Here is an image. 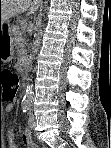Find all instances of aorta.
<instances>
[{
  "mask_svg": "<svg viewBox=\"0 0 111 148\" xmlns=\"http://www.w3.org/2000/svg\"><path fill=\"white\" fill-rule=\"evenodd\" d=\"M45 26V24L43 23L42 20L39 21L36 33H35V40L33 41V45H32V52H31V60H34L35 56L37 55L40 46H41V40H42V35H43V30L42 28ZM33 101V89H32V85L27 84L26 88H25V93H24V98H23V102L24 104H31Z\"/></svg>",
  "mask_w": 111,
  "mask_h": 148,
  "instance_id": "obj_1",
  "label": "aorta"
}]
</instances>
